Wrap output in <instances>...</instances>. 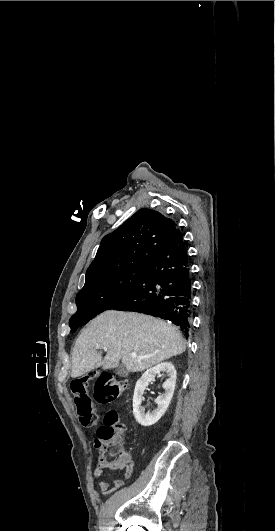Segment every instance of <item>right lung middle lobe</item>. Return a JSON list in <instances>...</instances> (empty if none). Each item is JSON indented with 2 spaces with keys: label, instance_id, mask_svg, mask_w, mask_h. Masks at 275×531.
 Masks as SVG:
<instances>
[{
  "label": "right lung middle lobe",
  "instance_id": "1",
  "mask_svg": "<svg viewBox=\"0 0 275 531\" xmlns=\"http://www.w3.org/2000/svg\"><path fill=\"white\" fill-rule=\"evenodd\" d=\"M145 268L146 265L118 269L85 283L76 296L77 312L69 321L71 332L120 302L139 281Z\"/></svg>",
  "mask_w": 275,
  "mask_h": 531
}]
</instances>
